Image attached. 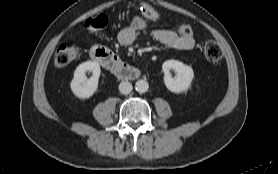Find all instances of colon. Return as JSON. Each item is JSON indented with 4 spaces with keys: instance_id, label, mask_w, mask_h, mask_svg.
<instances>
[{
    "instance_id": "1",
    "label": "colon",
    "mask_w": 278,
    "mask_h": 174,
    "mask_svg": "<svg viewBox=\"0 0 278 174\" xmlns=\"http://www.w3.org/2000/svg\"><path fill=\"white\" fill-rule=\"evenodd\" d=\"M141 9L144 16L154 22L160 21V14L149 5L142 3ZM108 23L105 15H98L86 20L85 26L91 32H97L103 29ZM176 33L184 37H193L192 28L188 24H181L177 27ZM80 53V49L76 45L61 44L58 46L54 63L57 67L62 68L74 61ZM204 56L211 63H218L222 58V49L214 41H209L204 46Z\"/></svg>"
}]
</instances>
